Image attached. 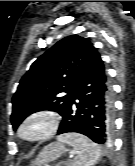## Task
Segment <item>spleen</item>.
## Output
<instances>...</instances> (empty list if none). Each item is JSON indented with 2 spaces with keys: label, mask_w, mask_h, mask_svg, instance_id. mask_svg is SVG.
Masks as SVG:
<instances>
[{
  "label": "spleen",
  "mask_w": 135,
  "mask_h": 166,
  "mask_svg": "<svg viewBox=\"0 0 135 166\" xmlns=\"http://www.w3.org/2000/svg\"><path fill=\"white\" fill-rule=\"evenodd\" d=\"M58 141L72 147L71 166H93L101 157L100 147L84 135L69 133L58 136Z\"/></svg>",
  "instance_id": "1"
}]
</instances>
